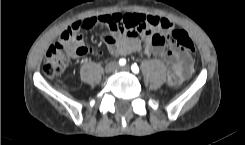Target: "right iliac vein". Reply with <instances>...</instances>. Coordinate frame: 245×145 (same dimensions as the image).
<instances>
[{
  "label": "right iliac vein",
  "instance_id": "obj_1",
  "mask_svg": "<svg viewBox=\"0 0 245 145\" xmlns=\"http://www.w3.org/2000/svg\"><path fill=\"white\" fill-rule=\"evenodd\" d=\"M117 65L115 62H109L106 66H105V72L106 73H112L115 71Z\"/></svg>",
  "mask_w": 245,
  "mask_h": 145
}]
</instances>
